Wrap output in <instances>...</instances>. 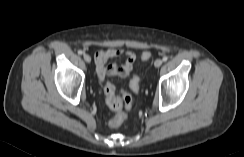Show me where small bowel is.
I'll return each instance as SVG.
<instances>
[{
    "mask_svg": "<svg viewBox=\"0 0 244 157\" xmlns=\"http://www.w3.org/2000/svg\"><path fill=\"white\" fill-rule=\"evenodd\" d=\"M121 56L125 57L123 64L108 63L109 59ZM94 59L98 79L103 82L107 76L128 77L133 70L136 55L133 52L123 49L108 48L96 51Z\"/></svg>",
    "mask_w": 244,
    "mask_h": 157,
    "instance_id": "small-bowel-1",
    "label": "small bowel"
}]
</instances>
